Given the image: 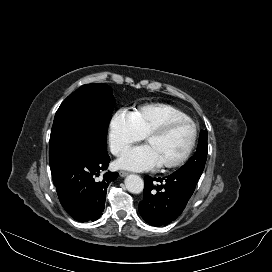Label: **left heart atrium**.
Segmentation results:
<instances>
[{"label":"left heart atrium","mask_w":272,"mask_h":272,"mask_svg":"<svg viewBox=\"0 0 272 272\" xmlns=\"http://www.w3.org/2000/svg\"><path fill=\"white\" fill-rule=\"evenodd\" d=\"M116 164L127 170L145 171L160 165L161 162L154 149L145 144L128 149Z\"/></svg>","instance_id":"39dd6f15"}]
</instances>
